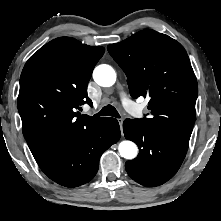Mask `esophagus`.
I'll list each match as a JSON object with an SVG mask.
<instances>
[{
    "label": "esophagus",
    "mask_w": 221,
    "mask_h": 221,
    "mask_svg": "<svg viewBox=\"0 0 221 221\" xmlns=\"http://www.w3.org/2000/svg\"><path fill=\"white\" fill-rule=\"evenodd\" d=\"M118 122H119V125L121 127V130H122V125H123V119H118Z\"/></svg>",
    "instance_id": "1"
}]
</instances>
